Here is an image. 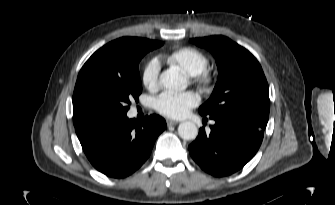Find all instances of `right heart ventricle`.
<instances>
[{
	"label": "right heart ventricle",
	"instance_id": "right-heart-ventricle-1",
	"mask_svg": "<svg viewBox=\"0 0 335 205\" xmlns=\"http://www.w3.org/2000/svg\"><path fill=\"white\" fill-rule=\"evenodd\" d=\"M167 59L171 64L179 66L191 76L206 69L209 62L208 57L194 47H182L175 50Z\"/></svg>",
	"mask_w": 335,
	"mask_h": 205
}]
</instances>
